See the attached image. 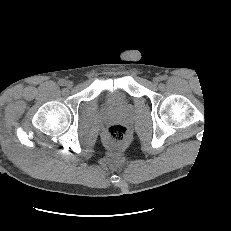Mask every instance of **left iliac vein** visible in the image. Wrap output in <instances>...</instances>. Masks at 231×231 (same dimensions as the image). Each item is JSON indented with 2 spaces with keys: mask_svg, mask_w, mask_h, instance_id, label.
<instances>
[{
  "mask_svg": "<svg viewBox=\"0 0 231 231\" xmlns=\"http://www.w3.org/2000/svg\"><path fill=\"white\" fill-rule=\"evenodd\" d=\"M159 82H160V78L159 77L153 78V83L154 84H158Z\"/></svg>",
  "mask_w": 231,
  "mask_h": 231,
  "instance_id": "1",
  "label": "left iliac vein"
}]
</instances>
